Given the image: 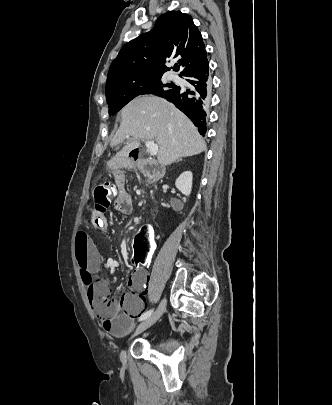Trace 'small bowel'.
Returning a JSON list of instances; mask_svg holds the SVG:
<instances>
[{"instance_id":"1","label":"small bowel","mask_w":332,"mask_h":405,"mask_svg":"<svg viewBox=\"0 0 332 405\" xmlns=\"http://www.w3.org/2000/svg\"><path fill=\"white\" fill-rule=\"evenodd\" d=\"M124 164L130 165V161L125 159ZM114 178L115 180H126L127 173L126 171H115ZM117 195L119 197L113 199L112 210L124 215L131 214L133 211L132 197L121 186H119ZM89 215L91 217H100L102 210L100 208H91ZM95 225L101 229L105 225L104 218L98 225ZM75 257L81 276L80 285L82 287H89L93 275L99 270L100 255L94 241L84 231H79L76 235ZM123 257L128 261L130 259L129 252L126 251ZM147 281V273L141 268L128 278L130 293L126 294L128 299L123 304L124 313L104 320L103 328L105 331L116 337L124 336L131 331L134 318L140 315L144 308V301L141 295L146 289Z\"/></svg>"}]
</instances>
